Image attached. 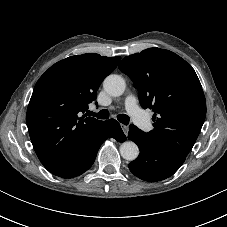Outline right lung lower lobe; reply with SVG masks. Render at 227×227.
I'll return each instance as SVG.
<instances>
[{
  "mask_svg": "<svg viewBox=\"0 0 227 227\" xmlns=\"http://www.w3.org/2000/svg\"><path fill=\"white\" fill-rule=\"evenodd\" d=\"M117 133L123 134L119 123L114 119L105 121L85 145H83L65 163L51 171V173L61 178H73L81 175L94 163L101 144L107 138H115L114 135Z\"/></svg>",
  "mask_w": 227,
  "mask_h": 227,
  "instance_id": "98d812e1",
  "label": "right lung lower lobe"
}]
</instances>
